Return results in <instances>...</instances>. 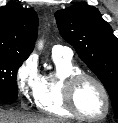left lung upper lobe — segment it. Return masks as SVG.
<instances>
[{"instance_id": "left-lung-upper-lobe-1", "label": "left lung upper lobe", "mask_w": 118, "mask_h": 123, "mask_svg": "<svg viewBox=\"0 0 118 123\" xmlns=\"http://www.w3.org/2000/svg\"><path fill=\"white\" fill-rule=\"evenodd\" d=\"M55 18L61 36L105 86L118 119V39L111 26L87 4L59 10Z\"/></svg>"}]
</instances>
